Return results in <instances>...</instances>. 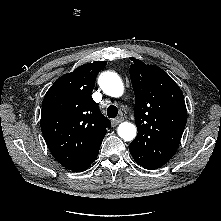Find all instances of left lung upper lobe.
<instances>
[{
	"instance_id": "1",
	"label": "left lung upper lobe",
	"mask_w": 221,
	"mask_h": 221,
	"mask_svg": "<svg viewBox=\"0 0 221 221\" xmlns=\"http://www.w3.org/2000/svg\"><path fill=\"white\" fill-rule=\"evenodd\" d=\"M130 59L138 134L129 151L140 166L156 169L166 164L178 148L187 122L186 105L181 89L165 71Z\"/></svg>"
}]
</instances>
